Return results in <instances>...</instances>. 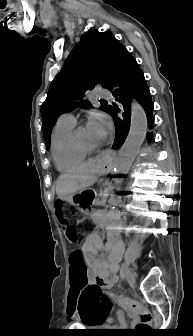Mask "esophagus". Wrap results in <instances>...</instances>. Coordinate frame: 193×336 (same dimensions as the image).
Masks as SVG:
<instances>
[{
	"instance_id": "1",
	"label": "esophagus",
	"mask_w": 193,
	"mask_h": 336,
	"mask_svg": "<svg viewBox=\"0 0 193 336\" xmlns=\"http://www.w3.org/2000/svg\"><path fill=\"white\" fill-rule=\"evenodd\" d=\"M114 152L111 149H106L104 152H102L101 156H106L113 154Z\"/></svg>"
}]
</instances>
